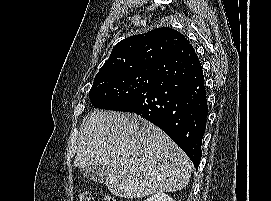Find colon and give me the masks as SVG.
<instances>
[{"instance_id": "1", "label": "colon", "mask_w": 271, "mask_h": 201, "mask_svg": "<svg viewBox=\"0 0 271 201\" xmlns=\"http://www.w3.org/2000/svg\"><path fill=\"white\" fill-rule=\"evenodd\" d=\"M79 201H94V200L89 192L84 191L79 194ZM104 201H119V200L113 196H105Z\"/></svg>"}]
</instances>
